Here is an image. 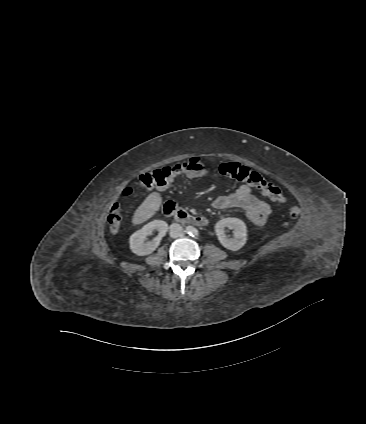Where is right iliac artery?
Segmentation results:
<instances>
[{
	"instance_id": "1",
	"label": "right iliac artery",
	"mask_w": 366,
	"mask_h": 424,
	"mask_svg": "<svg viewBox=\"0 0 366 424\" xmlns=\"http://www.w3.org/2000/svg\"><path fill=\"white\" fill-rule=\"evenodd\" d=\"M186 232L189 233V234L192 233V228L191 227H187L186 228Z\"/></svg>"
}]
</instances>
